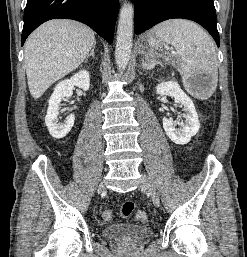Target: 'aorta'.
I'll return each mask as SVG.
<instances>
[{
	"mask_svg": "<svg viewBox=\"0 0 247 257\" xmlns=\"http://www.w3.org/2000/svg\"><path fill=\"white\" fill-rule=\"evenodd\" d=\"M134 8L124 2L119 13L116 37L115 61L120 71L126 69L132 50Z\"/></svg>",
	"mask_w": 247,
	"mask_h": 257,
	"instance_id": "obj_1",
	"label": "aorta"
}]
</instances>
